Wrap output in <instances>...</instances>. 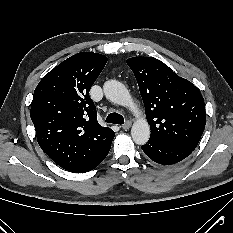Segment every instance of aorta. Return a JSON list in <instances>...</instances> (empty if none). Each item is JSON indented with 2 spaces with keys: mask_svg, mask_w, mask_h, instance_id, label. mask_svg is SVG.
Returning <instances> with one entry per match:
<instances>
[{
  "mask_svg": "<svg viewBox=\"0 0 233 233\" xmlns=\"http://www.w3.org/2000/svg\"><path fill=\"white\" fill-rule=\"evenodd\" d=\"M106 98L113 103L135 109L136 106L127 88L117 80H108L103 85ZM131 136L138 145L147 143L150 137V126L146 119H138L132 126Z\"/></svg>",
  "mask_w": 233,
  "mask_h": 233,
  "instance_id": "obj_1",
  "label": "aorta"
}]
</instances>
